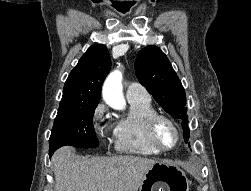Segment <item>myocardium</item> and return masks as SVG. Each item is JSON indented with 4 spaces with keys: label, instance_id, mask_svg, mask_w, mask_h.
Segmentation results:
<instances>
[{
    "label": "myocardium",
    "instance_id": "myocardium-1",
    "mask_svg": "<svg viewBox=\"0 0 251 191\" xmlns=\"http://www.w3.org/2000/svg\"><path fill=\"white\" fill-rule=\"evenodd\" d=\"M165 120L169 122L178 134L179 140L176 146L172 150H163L159 147L155 138V127L158 121ZM145 136L149 145L157 152L159 155L168 154L178 150L184 143L185 135L180 128L179 124L169 115L164 113L154 112L151 114L145 122Z\"/></svg>",
    "mask_w": 251,
    "mask_h": 191
}]
</instances>
